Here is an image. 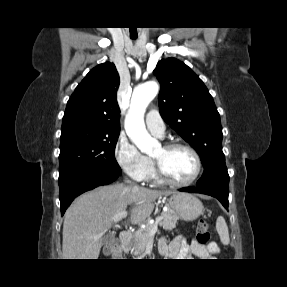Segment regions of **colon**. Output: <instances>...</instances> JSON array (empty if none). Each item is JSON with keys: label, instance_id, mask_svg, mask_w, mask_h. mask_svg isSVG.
<instances>
[{"label": "colon", "instance_id": "colon-1", "mask_svg": "<svg viewBox=\"0 0 287 287\" xmlns=\"http://www.w3.org/2000/svg\"><path fill=\"white\" fill-rule=\"evenodd\" d=\"M196 241L201 245H207L210 241V228L205 220H200L196 230Z\"/></svg>", "mask_w": 287, "mask_h": 287}]
</instances>
